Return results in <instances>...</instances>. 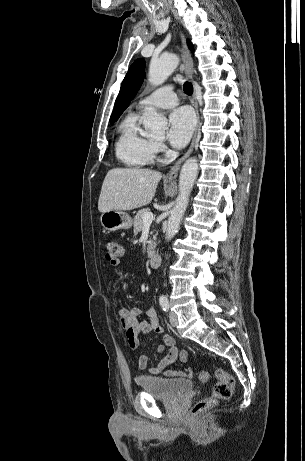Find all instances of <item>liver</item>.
Returning <instances> with one entry per match:
<instances>
[{"instance_id":"1","label":"liver","mask_w":305,"mask_h":461,"mask_svg":"<svg viewBox=\"0 0 305 461\" xmlns=\"http://www.w3.org/2000/svg\"><path fill=\"white\" fill-rule=\"evenodd\" d=\"M160 172L139 168H113L102 184L98 210H132L149 204L159 181Z\"/></svg>"}]
</instances>
